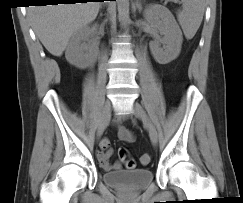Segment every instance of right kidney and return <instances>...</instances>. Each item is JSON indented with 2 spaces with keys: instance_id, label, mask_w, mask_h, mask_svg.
<instances>
[{
  "instance_id": "1",
  "label": "right kidney",
  "mask_w": 243,
  "mask_h": 203,
  "mask_svg": "<svg viewBox=\"0 0 243 203\" xmlns=\"http://www.w3.org/2000/svg\"><path fill=\"white\" fill-rule=\"evenodd\" d=\"M92 30L88 26L78 29L72 35L65 52L67 61L80 69L92 66L97 59V50L86 43Z\"/></svg>"
}]
</instances>
